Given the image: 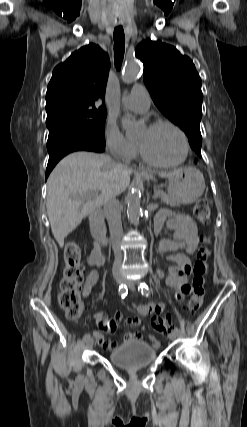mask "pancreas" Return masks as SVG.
Returning <instances> with one entry per match:
<instances>
[{"label":"pancreas","mask_w":247,"mask_h":427,"mask_svg":"<svg viewBox=\"0 0 247 427\" xmlns=\"http://www.w3.org/2000/svg\"><path fill=\"white\" fill-rule=\"evenodd\" d=\"M157 197L161 200V202L170 205V206H177L178 202H176L174 199H172L168 194L165 192L158 190L156 191Z\"/></svg>","instance_id":"pancreas-1"}]
</instances>
